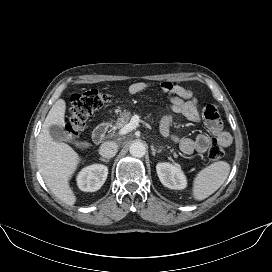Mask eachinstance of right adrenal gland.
<instances>
[{"instance_id": "1", "label": "right adrenal gland", "mask_w": 272, "mask_h": 272, "mask_svg": "<svg viewBox=\"0 0 272 272\" xmlns=\"http://www.w3.org/2000/svg\"><path fill=\"white\" fill-rule=\"evenodd\" d=\"M99 160L105 162V163H108L109 162V159H105V158H100Z\"/></svg>"}]
</instances>
